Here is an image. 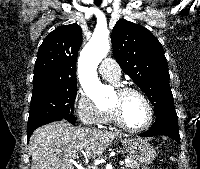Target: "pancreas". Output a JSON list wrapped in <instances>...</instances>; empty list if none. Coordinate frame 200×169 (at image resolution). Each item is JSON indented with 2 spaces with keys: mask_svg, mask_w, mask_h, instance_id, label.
<instances>
[{
  "mask_svg": "<svg viewBox=\"0 0 200 169\" xmlns=\"http://www.w3.org/2000/svg\"><path fill=\"white\" fill-rule=\"evenodd\" d=\"M138 168L137 164H135L131 159L129 162L126 163L125 167H122L121 169H136Z\"/></svg>",
  "mask_w": 200,
  "mask_h": 169,
  "instance_id": "obj_1",
  "label": "pancreas"
}]
</instances>
